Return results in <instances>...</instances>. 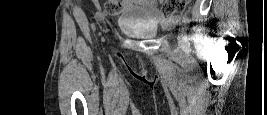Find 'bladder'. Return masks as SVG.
I'll list each match as a JSON object with an SVG mask.
<instances>
[{
    "label": "bladder",
    "mask_w": 267,
    "mask_h": 115,
    "mask_svg": "<svg viewBox=\"0 0 267 115\" xmlns=\"http://www.w3.org/2000/svg\"><path fill=\"white\" fill-rule=\"evenodd\" d=\"M121 30L133 37L150 38L156 35L157 28L154 25H121Z\"/></svg>",
    "instance_id": "1"
}]
</instances>
